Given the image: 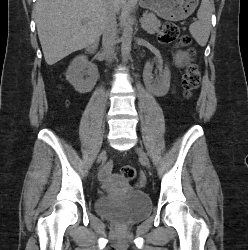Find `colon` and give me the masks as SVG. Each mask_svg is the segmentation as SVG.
Segmentation results:
<instances>
[{"label": "colon", "instance_id": "5ec220e1", "mask_svg": "<svg viewBox=\"0 0 248 250\" xmlns=\"http://www.w3.org/2000/svg\"><path fill=\"white\" fill-rule=\"evenodd\" d=\"M159 37L160 41L166 44L176 43L180 46H189L191 43L190 38L186 35H182L179 29L172 23H165L163 25ZM188 54L190 57L193 56L194 51L192 48H188ZM200 80L201 75L198 66L193 61H190L182 78V85L186 97H190L198 88ZM120 173L122 178L127 182H131L136 176V170L131 165L123 166Z\"/></svg>", "mask_w": 248, "mask_h": 250}]
</instances>
